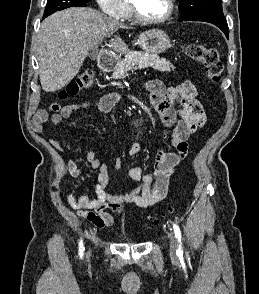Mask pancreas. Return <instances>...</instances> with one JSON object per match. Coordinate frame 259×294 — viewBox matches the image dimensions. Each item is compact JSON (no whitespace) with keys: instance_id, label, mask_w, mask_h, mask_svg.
Returning a JSON list of instances; mask_svg holds the SVG:
<instances>
[{"instance_id":"cf45deb5","label":"pancreas","mask_w":259,"mask_h":294,"mask_svg":"<svg viewBox=\"0 0 259 294\" xmlns=\"http://www.w3.org/2000/svg\"><path fill=\"white\" fill-rule=\"evenodd\" d=\"M152 67L160 72H170L174 70V66L165 58H160L158 55L144 53L140 51H131L125 58L117 65L113 78L123 79L129 71L137 68Z\"/></svg>"}]
</instances>
